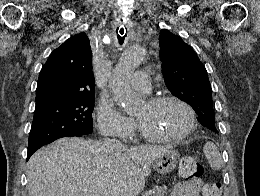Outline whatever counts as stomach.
<instances>
[{
    "label": "stomach",
    "mask_w": 260,
    "mask_h": 196,
    "mask_svg": "<svg viewBox=\"0 0 260 196\" xmlns=\"http://www.w3.org/2000/svg\"><path fill=\"white\" fill-rule=\"evenodd\" d=\"M179 158V152H176V150H167L163 156H159V158L154 160L152 166L158 174H170V172L175 170Z\"/></svg>",
    "instance_id": "1"
}]
</instances>
